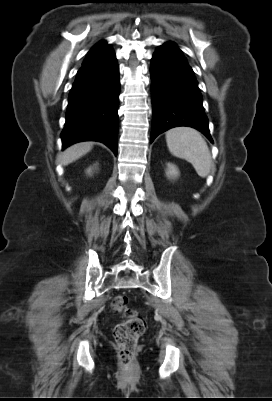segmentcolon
<instances>
[{
    "label": "colon",
    "instance_id": "colon-1",
    "mask_svg": "<svg viewBox=\"0 0 272 401\" xmlns=\"http://www.w3.org/2000/svg\"><path fill=\"white\" fill-rule=\"evenodd\" d=\"M111 309L115 314L123 313L126 318L115 327L114 339L121 361L128 364L133 359L137 342L145 331L146 323L138 311L128 308V299L123 295L114 297Z\"/></svg>",
    "mask_w": 272,
    "mask_h": 401
}]
</instances>
